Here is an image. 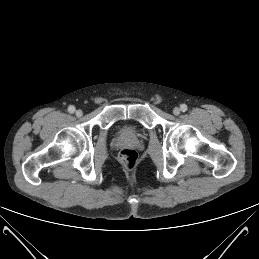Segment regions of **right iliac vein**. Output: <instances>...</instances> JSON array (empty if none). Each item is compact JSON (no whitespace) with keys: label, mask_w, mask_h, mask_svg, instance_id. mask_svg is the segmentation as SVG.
I'll return each instance as SVG.
<instances>
[{"label":"right iliac vein","mask_w":259,"mask_h":259,"mask_svg":"<svg viewBox=\"0 0 259 259\" xmlns=\"http://www.w3.org/2000/svg\"><path fill=\"white\" fill-rule=\"evenodd\" d=\"M82 114H83L82 110H77V111H76V116H77V117H81Z\"/></svg>","instance_id":"1"}]
</instances>
